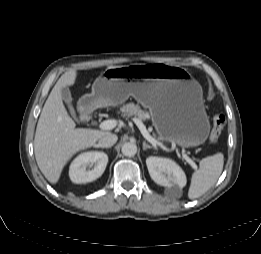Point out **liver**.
Returning <instances> with one entry per match:
<instances>
[{
    "instance_id": "6515ba94",
    "label": "liver",
    "mask_w": 261,
    "mask_h": 254,
    "mask_svg": "<svg viewBox=\"0 0 261 254\" xmlns=\"http://www.w3.org/2000/svg\"><path fill=\"white\" fill-rule=\"evenodd\" d=\"M114 66H108L112 68ZM77 72H65L51 90L41 111L34 138L36 162L42 174L52 184L58 182L70 158L81 150L96 146L109 132L76 128L62 101L61 89L74 85Z\"/></svg>"
}]
</instances>
